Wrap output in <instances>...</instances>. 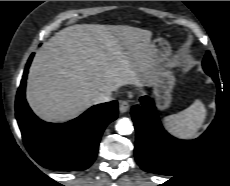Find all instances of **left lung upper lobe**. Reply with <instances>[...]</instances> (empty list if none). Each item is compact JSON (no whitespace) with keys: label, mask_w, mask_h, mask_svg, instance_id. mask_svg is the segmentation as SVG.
<instances>
[{"label":"left lung upper lobe","mask_w":230,"mask_h":186,"mask_svg":"<svg viewBox=\"0 0 230 186\" xmlns=\"http://www.w3.org/2000/svg\"><path fill=\"white\" fill-rule=\"evenodd\" d=\"M203 68L205 72L210 75L211 77L218 75L215 63L210 55L209 52L206 53L205 58L203 60Z\"/></svg>","instance_id":"1"}]
</instances>
